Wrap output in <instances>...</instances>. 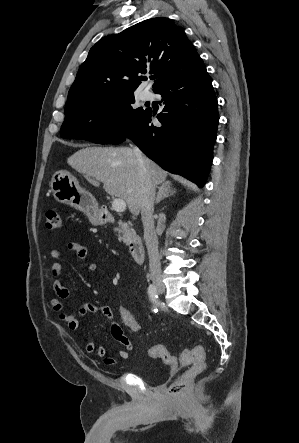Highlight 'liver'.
<instances>
[{
  "instance_id": "liver-1",
  "label": "liver",
  "mask_w": 299,
  "mask_h": 443,
  "mask_svg": "<svg viewBox=\"0 0 299 443\" xmlns=\"http://www.w3.org/2000/svg\"><path fill=\"white\" fill-rule=\"evenodd\" d=\"M143 158L155 185L164 182L167 172ZM67 162L77 172L102 182L106 193L124 200L133 215L139 214V165L131 148L86 147L71 155Z\"/></svg>"
}]
</instances>
